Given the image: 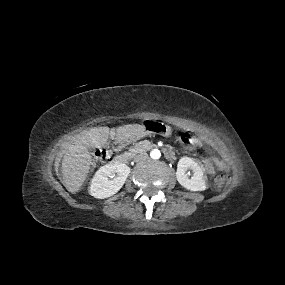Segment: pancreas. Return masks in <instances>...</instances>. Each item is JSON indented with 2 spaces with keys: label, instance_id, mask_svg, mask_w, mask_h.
Segmentation results:
<instances>
[{
  "label": "pancreas",
  "instance_id": "pancreas-1",
  "mask_svg": "<svg viewBox=\"0 0 285 285\" xmlns=\"http://www.w3.org/2000/svg\"><path fill=\"white\" fill-rule=\"evenodd\" d=\"M134 151H144L146 150V146L144 144H137L133 148Z\"/></svg>",
  "mask_w": 285,
  "mask_h": 285
}]
</instances>
